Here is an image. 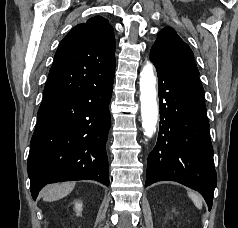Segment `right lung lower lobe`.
<instances>
[{
  "mask_svg": "<svg viewBox=\"0 0 238 228\" xmlns=\"http://www.w3.org/2000/svg\"><path fill=\"white\" fill-rule=\"evenodd\" d=\"M113 79L41 103L27 165L34 200L47 183L90 179L109 185L106 140Z\"/></svg>",
  "mask_w": 238,
  "mask_h": 228,
  "instance_id": "obj_1",
  "label": "right lung lower lobe"
}]
</instances>
